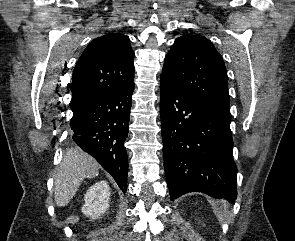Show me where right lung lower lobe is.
<instances>
[{"mask_svg":"<svg viewBox=\"0 0 295 241\" xmlns=\"http://www.w3.org/2000/svg\"><path fill=\"white\" fill-rule=\"evenodd\" d=\"M134 83L95 95L71 105L72 139L109 172L120 189H127L128 159L124 142L128 136Z\"/></svg>","mask_w":295,"mask_h":241,"instance_id":"obj_1","label":"right lung lower lobe"}]
</instances>
